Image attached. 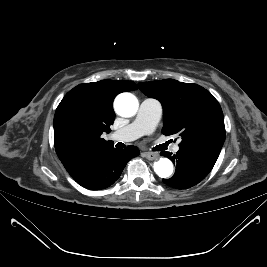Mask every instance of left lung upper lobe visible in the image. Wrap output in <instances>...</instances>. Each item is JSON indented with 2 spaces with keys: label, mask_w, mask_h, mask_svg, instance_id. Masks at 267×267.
I'll use <instances>...</instances> for the list:
<instances>
[{
  "label": "left lung upper lobe",
  "mask_w": 267,
  "mask_h": 267,
  "mask_svg": "<svg viewBox=\"0 0 267 267\" xmlns=\"http://www.w3.org/2000/svg\"><path fill=\"white\" fill-rule=\"evenodd\" d=\"M139 89L163 106L162 133L177 134L179 148L219 154L225 140L222 109L203 87L174 79L140 82Z\"/></svg>",
  "instance_id": "left-lung-upper-lobe-1"
}]
</instances>
